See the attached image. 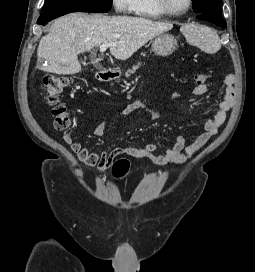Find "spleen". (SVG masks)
<instances>
[{
	"label": "spleen",
	"instance_id": "3e777b00",
	"mask_svg": "<svg viewBox=\"0 0 255 272\" xmlns=\"http://www.w3.org/2000/svg\"><path fill=\"white\" fill-rule=\"evenodd\" d=\"M180 31L190 45L199 47L206 53H216L221 48L218 34L207 26L186 24L180 28Z\"/></svg>",
	"mask_w": 255,
	"mask_h": 272
}]
</instances>
